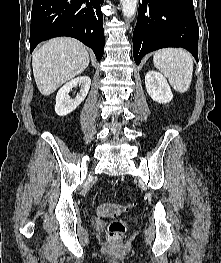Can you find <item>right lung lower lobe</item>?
I'll return each instance as SVG.
<instances>
[{
  "instance_id": "98d812e1",
  "label": "right lung lower lobe",
  "mask_w": 221,
  "mask_h": 263,
  "mask_svg": "<svg viewBox=\"0 0 221 263\" xmlns=\"http://www.w3.org/2000/svg\"><path fill=\"white\" fill-rule=\"evenodd\" d=\"M104 0H33L30 51L58 36L74 37L90 47L100 60L104 53Z\"/></svg>"
}]
</instances>
